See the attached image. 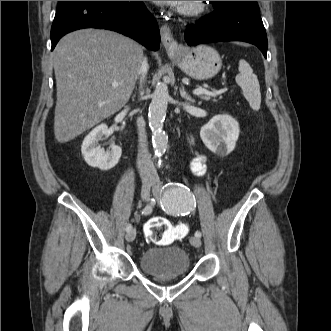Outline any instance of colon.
Wrapping results in <instances>:
<instances>
[{"mask_svg":"<svg viewBox=\"0 0 331 331\" xmlns=\"http://www.w3.org/2000/svg\"><path fill=\"white\" fill-rule=\"evenodd\" d=\"M188 228L184 224L172 225L162 217L150 219L145 226L146 238L157 245H167L174 240L184 238Z\"/></svg>","mask_w":331,"mask_h":331,"instance_id":"1","label":"colon"}]
</instances>
